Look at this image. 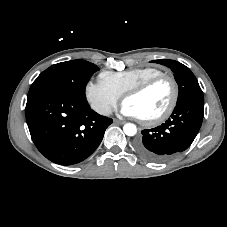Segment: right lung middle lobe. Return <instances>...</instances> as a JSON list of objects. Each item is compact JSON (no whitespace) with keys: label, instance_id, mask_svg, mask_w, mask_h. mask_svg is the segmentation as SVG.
I'll return each instance as SVG.
<instances>
[{"label":"right lung middle lobe","instance_id":"dd1d6c3e","mask_svg":"<svg viewBox=\"0 0 227 227\" xmlns=\"http://www.w3.org/2000/svg\"><path fill=\"white\" fill-rule=\"evenodd\" d=\"M99 68L85 60H72L52 65L32 83L27 98L55 92L83 98V88Z\"/></svg>","mask_w":227,"mask_h":227}]
</instances>
